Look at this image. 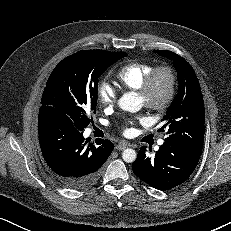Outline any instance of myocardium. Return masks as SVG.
<instances>
[{
    "instance_id": "myocardium-1",
    "label": "myocardium",
    "mask_w": 231,
    "mask_h": 231,
    "mask_svg": "<svg viewBox=\"0 0 231 231\" xmlns=\"http://www.w3.org/2000/svg\"><path fill=\"white\" fill-rule=\"evenodd\" d=\"M167 79V89L161 99L154 97V89L160 75ZM178 87V79L175 70L167 64L155 66L146 76L140 88L136 91L144 106L155 113H164L172 105Z\"/></svg>"
}]
</instances>
